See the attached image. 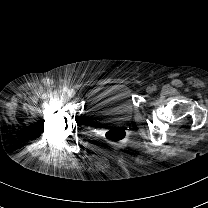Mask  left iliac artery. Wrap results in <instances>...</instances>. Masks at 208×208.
I'll use <instances>...</instances> for the list:
<instances>
[{"instance_id": "44dca946", "label": "left iliac artery", "mask_w": 208, "mask_h": 208, "mask_svg": "<svg viewBox=\"0 0 208 208\" xmlns=\"http://www.w3.org/2000/svg\"><path fill=\"white\" fill-rule=\"evenodd\" d=\"M153 88L155 89V88H156V86L154 85V86H153Z\"/></svg>"}]
</instances>
